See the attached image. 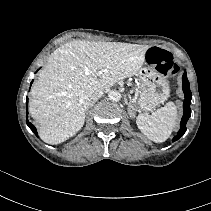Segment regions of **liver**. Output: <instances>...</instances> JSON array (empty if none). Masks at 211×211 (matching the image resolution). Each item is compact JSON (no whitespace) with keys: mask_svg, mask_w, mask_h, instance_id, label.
<instances>
[{"mask_svg":"<svg viewBox=\"0 0 211 211\" xmlns=\"http://www.w3.org/2000/svg\"><path fill=\"white\" fill-rule=\"evenodd\" d=\"M148 45L74 40L56 49L30 92L29 112L39 137L60 144L84 125L96 90L137 75Z\"/></svg>","mask_w":211,"mask_h":211,"instance_id":"6515ba94","label":"liver"}]
</instances>
